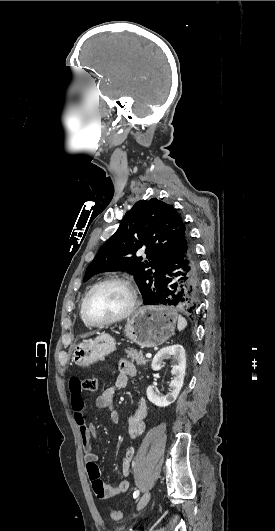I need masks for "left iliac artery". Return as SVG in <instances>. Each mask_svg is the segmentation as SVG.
<instances>
[{
    "instance_id": "left-iliac-artery-1",
    "label": "left iliac artery",
    "mask_w": 275,
    "mask_h": 531,
    "mask_svg": "<svg viewBox=\"0 0 275 531\" xmlns=\"http://www.w3.org/2000/svg\"><path fill=\"white\" fill-rule=\"evenodd\" d=\"M138 496H139V490H136V491L133 493V498L136 499Z\"/></svg>"
}]
</instances>
